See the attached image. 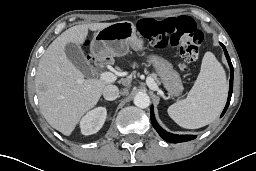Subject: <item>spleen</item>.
Masks as SVG:
<instances>
[{"label":"spleen","instance_id":"spleen-1","mask_svg":"<svg viewBox=\"0 0 256 171\" xmlns=\"http://www.w3.org/2000/svg\"><path fill=\"white\" fill-rule=\"evenodd\" d=\"M228 85L222 65L206 52L200 73L183 100L168 107L169 116L181 127L196 129L213 122L226 103Z\"/></svg>","mask_w":256,"mask_h":171}]
</instances>
